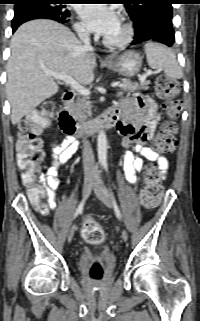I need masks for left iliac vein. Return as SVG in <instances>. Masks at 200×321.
Returning a JSON list of instances; mask_svg holds the SVG:
<instances>
[{"label":"left iliac vein","mask_w":200,"mask_h":321,"mask_svg":"<svg viewBox=\"0 0 200 321\" xmlns=\"http://www.w3.org/2000/svg\"><path fill=\"white\" fill-rule=\"evenodd\" d=\"M95 183H94V191L98 198L109 208H113L114 203L111 195L106 189L105 185L102 182L99 171L95 174ZM122 239L126 241L128 239V234L125 230L122 232Z\"/></svg>","instance_id":"obj_1"}]
</instances>
